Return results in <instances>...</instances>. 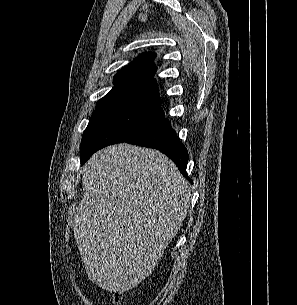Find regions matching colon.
Here are the masks:
<instances>
[{
	"label": "colon",
	"mask_w": 297,
	"mask_h": 305,
	"mask_svg": "<svg viewBox=\"0 0 297 305\" xmlns=\"http://www.w3.org/2000/svg\"><path fill=\"white\" fill-rule=\"evenodd\" d=\"M113 302L115 304H118L120 302V294L119 293L115 294Z\"/></svg>",
	"instance_id": "colon-1"
}]
</instances>
